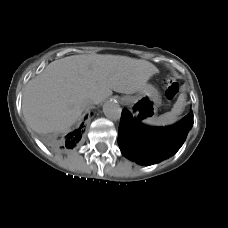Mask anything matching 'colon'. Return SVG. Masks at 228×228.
<instances>
[{"label":"colon","instance_id":"obj_1","mask_svg":"<svg viewBox=\"0 0 228 228\" xmlns=\"http://www.w3.org/2000/svg\"><path fill=\"white\" fill-rule=\"evenodd\" d=\"M178 92H179L178 84L171 77H168L166 79V85H165L166 98L169 100H172L177 96Z\"/></svg>","mask_w":228,"mask_h":228}]
</instances>
